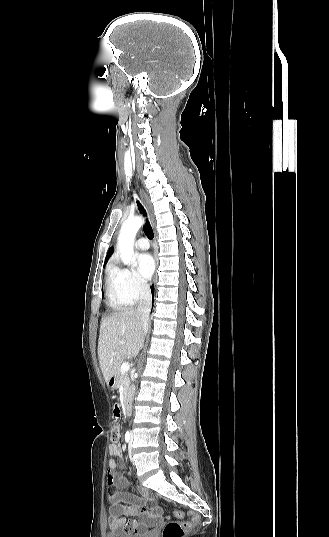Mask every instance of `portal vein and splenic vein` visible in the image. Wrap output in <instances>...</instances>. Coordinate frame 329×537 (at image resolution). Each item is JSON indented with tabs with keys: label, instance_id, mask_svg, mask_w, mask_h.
Listing matches in <instances>:
<instances>
[{
	"label": "portal vein and splenic vein",
	"instance_id": "obj_1",
	"mask_svg": "<svg viewBox=\"0 0 329 537\" xmlns=\"http://www.w3.org/2000/svg\"><path fill=\"white\" fill-rule=\"evenodd\" d=\"M122 344H123V342H122ZM129 368H130V364H129V362H124V363L121 365V371H122V372H127V371L129 370Z\"/></svg>",
	"mask_w": 329,
	"mask_h": 537
}]
</instances>
